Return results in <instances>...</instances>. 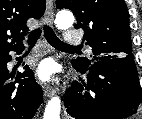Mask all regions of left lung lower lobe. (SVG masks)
Returning <instances> with one entry per match:
<instances>
[{
  "instance_id": "0a47b994",
  "label": "left lung lower lobe",
  "mask_w": 142,
  "mask_h": 119,
  "mask_svg": "<svg viewBox=\"0 0 142 119\" xmlns=\"http://www.w3.org/2000/svg\"><path fill=\"white\" fill-rule=\"evenodd\" d=\"M76 70L87 80L73 81L65 95V107L74 119H123L138 113L142 91L134 58L98 60Z\"/></svg>"
}]
</instances>
